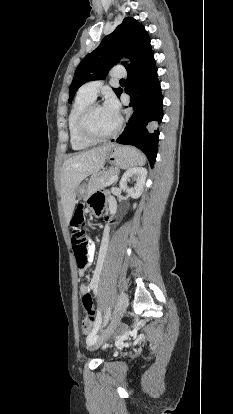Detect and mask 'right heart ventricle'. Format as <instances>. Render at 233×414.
I'll return each mask as SVG.
<instances>
[{
  "mask_svg": "<svg viewBox=\"0 0 233 414\" xmlns=\"http://www.w3.org/2000/svg\"><path fill=\"white\" fill-rule=\"evenodd\" d=\"M93 100L90 96L79 91L70 109L67 124L70 144L74 150H85L93 145V142L84 140L77 131V120L81 111Z\"/></svg>",
  "mask_w": 233,
  "mask_h": 414,
  "instance_id": "e07e8e85",
  "label": "right heart ventricle"
}]
</instances>
